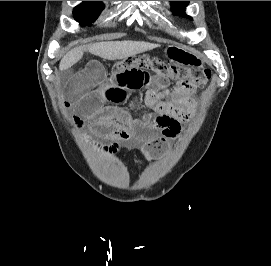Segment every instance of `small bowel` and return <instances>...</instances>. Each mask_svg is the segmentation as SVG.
<instances>
[{
  "mask_svg": "<svg viewBox=\"0 0 271 266\" xmlns=\"http://www.w3.org/2000/svg\"><path fill=\"white\" fill-rule=\"evenodd\" d=\"M145 90V104L153 112L134 117L121 107L132 91ZM64 102L72 111L76 127L97 149L115 153L124 141L138 143L149 155H158L164 141L175 137L181 123L190 120L197 103L192 92L180 85L170 88L166 77L150 70L131 67L107 74L97 61L69 72ZM93 137L106 138L101 145Z\"/></svg>",
  "mask_w": 271,
  "mask_h": 266,
  "instance_id": "obj_1",
  "label": "small bowel"
}]
</instances>
